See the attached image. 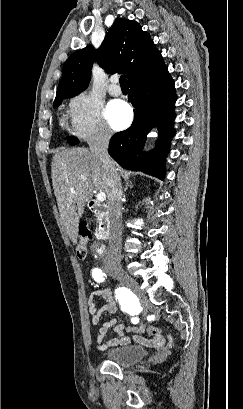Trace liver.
Segmentation results:
<instances>
[{
    "mask_svg": "<svg viewBox=\"0 0 243 409\" xmlns=\"http://www.w3.org/2000/svg\"><path fill=\"white\" fill-rule=\"evenodd\" d=\"M51 174L63 225L71 241L76 243L86 201L94 191L108 193L107 173L98 157L87 148L77 147L54 155Z\"/></svg>",
    "mask_w": 243,
    "mask_h": 409,
    "instance_id": "6515ba94",
    "label": "liver"
}]
</instances>
